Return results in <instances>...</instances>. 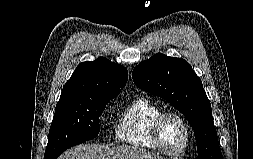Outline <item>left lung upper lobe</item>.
<instances>
[{"label":"left lung upper lobe","instance_id":"5c2ea615","mask_svg":"<svg viewBox=\"0 0 253 159\" xmlns=\"http://www.w3.org/2000/svg\"><path fill=\"white\" fill-rule=\"evenodd\" d=\"M132 78L140 89L166 99L194 129L198 159H222L210 101L190 64L156 54L136 66Z\"/></svg>","mask_w":253,"mask_h":159}]
</instances>
